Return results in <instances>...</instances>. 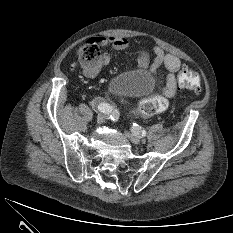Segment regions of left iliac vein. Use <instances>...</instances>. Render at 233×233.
<instances>
[{
	"instance_id": "1",
	"label": "left iliac vein",
	"mask_w": 233,
	"mask_h": 233,
	"mask_svg": "<svg viewBox=\"0 0 233 233\" xmlns=\"http://www.w3.org/2000/svg\"><path fill=\"white\" fill-rule=\"evenodd\" d=\"M128 134V137L129 139L135 143V144H140L141 141H142V137L140 136V134L138 132H136L134 130V128L132 127L131 128V132L127 133Z\"/></svg>"
}]
</instances>
